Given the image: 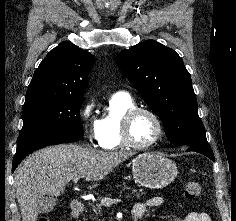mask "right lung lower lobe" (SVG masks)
Listing matches in <instances>:
<instances>
[{
	"label": "right lung lower lobe",
	"instance_id": "98d812e1",
	"mask_svg": "<svg viewBox=\"0 0 236 221\" xmlns=\"http://www.w3.org/2000/svg\"><path fill=\"white\" fill-rule=\"evenodd\" d=\"M78 140V136L68 134H37L18 140L17 150L12 164V172L25 156L39 148Z\"/></svg>",
	"mask_w": 236,
	"mask_h": 221
}]
</instances>
